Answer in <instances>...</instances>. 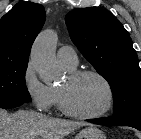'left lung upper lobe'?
Returning <instances> with one entry per match:
<instances>
[{"label": "left lung upper lobe", "instance_id": "5c2ea615", "mask_svg": "<svg viewBox=\"0 0 141 139\" xmlns=\"http://www.w3.org/2000/svg\"><path fill=\"white\" fill-rule=\"evenodd\" d=\"M71 40L110 84L114 116L141 110V69L129 33L100 7L74 9L66 15Z\"/></svg>", "mask_w": 141, "mask_h": 139}]
</instances>
